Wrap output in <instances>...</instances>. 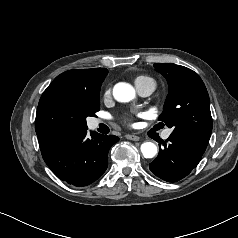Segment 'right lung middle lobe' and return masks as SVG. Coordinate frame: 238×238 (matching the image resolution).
Here are the masks:
<instances>
[{
  "mask_svg": "<svg viewBox=\"0 0 238 238\" xmlns=\"http://www.w3.org/2000/svg\"><path fill=\"white\" fill-rule=\"evenodd\" d=\"M101 82L104 81L108 70L105 68L100 69ZM75 115L70 122L71 128L86 127V117L94 116L100 110V89L77 95L73 100Z\"/></svg>",
  "mask_w": 238,
  "mask_h": 238,
  "instance_id": "obj_1",
  "label": "right lung middle lobe"
}]
</instances>
